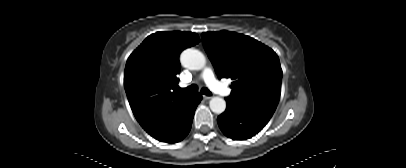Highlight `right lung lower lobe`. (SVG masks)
Segmentation results:
<instances>
[{"label":"right lung lower lobe","instance_id":"right-lung-lower-lobe-1","mask_svg":"<svg viewBox=\"0 0 406 168\" xmlns=\"http://www.w3.org/2000/svg\"><path fill=\"white\" fill-rule=\"evenodd\" d=\"M201 99V94L191 95L151 136L167 143L181 141L191 129L193 116Z\"/></svg>","mask_w":406,"mask_h":168}]
</instances>
